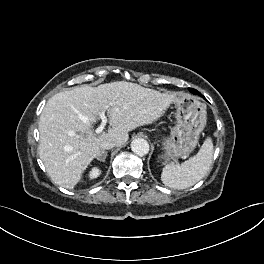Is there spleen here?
Returning a JSON list of instances; mask_svg holds the SVG:
<instances>
[{
	"label": "spleen",
	"mask_w": 264,
	"mask_h": 264,
	"mask_svg": "<svg viewBox=\"0 0 264 264\" xmlns=\"http://www.w3.org/2000/svg\"><path fill=\"white\" fill-rule=\"evenodd\" d=\"M213 143L207 138L199 152L181 165L168 164L163 168L161 180L173 189H185L200 181L209 171L213 159Z\"/></svg>",
	"instance_id": "spleen-1"
}]
</instances>
